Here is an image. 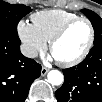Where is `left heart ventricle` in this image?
Returning a JSON list of instances; mask_svg holds the SVG:
<instances>
[{
  "label": "left heart ventricle",
  "instance_id": "b2bd125f",
  "mask_svg": "<svg viewBox=\"0 0 102 102\" xmlns=\"http://www.w3.org/2000/svg\"><path fill=\"white\" fill-rule=\"evenodd\" d=\"M89 39V28L84 22L73 25L52 50L58 61H70L78 57Z\"/></svg>",
  "mask_w": 102,
  "mask_h": 102
}]
</instances>
